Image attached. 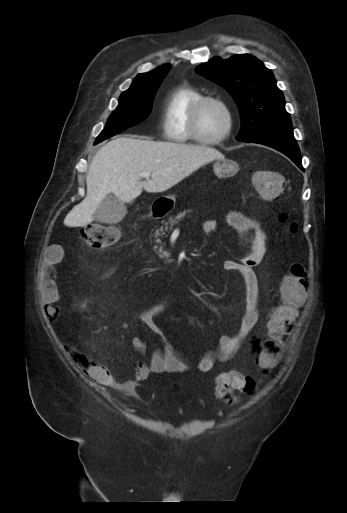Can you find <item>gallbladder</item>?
I'll list each match as a JSON object with an SVG mask.
<instances>
[{"label": "gallbladder", "instance_id": "obj_1", "mask_svg": "<svg viewBox=\"0 0 347 513\" xmlns=\"http://www.w3.org/2000/svg\"><path fill=\"white\" fill-rule=\"evenodd\" d=\"M127 214L126 206L114 195H107L93 214L96 221L106 224H116Z\"/></svg>", "mask_w": 347, "mask_h": 513}]
</instances>
